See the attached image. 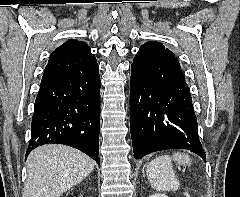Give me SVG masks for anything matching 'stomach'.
<instances>
[{
  "mask_svg": "<svg viewBox=\"0 0 240 197\" xmlns=\"http://www.w3.org/2000/svg\"><path fill=\"white\" fill-rule=\"evenodd\" d=\"M181 163H183V164H187L186 162H181Z\"/></svg>",
  "mask_w": 240,
  "mask_h": 197,
  "instance_id": "1",
  "label": "stomach"
}]
</instances>
